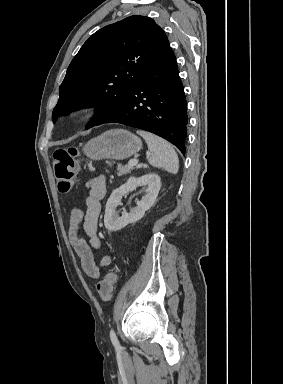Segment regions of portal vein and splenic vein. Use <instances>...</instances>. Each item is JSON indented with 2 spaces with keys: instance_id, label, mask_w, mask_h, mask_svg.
I'll use <instances>...</instances> for the list:
<instances>
[{
  "instance_id": "portal-vein-and-splenic-vein-1",
  "label": "portal vein and splenic vein",
  "mask_w": 283,
  "mask_h": 384,
  "mask_svg": "<svg viewBox=\"0 0 283 384\" xmlns=\"http://www.w3.org/2000/svg\"><path fill=\"white\" fill-rule=\"evenodd\" d=\"M146 156H151V152H146ZM138 164V160H129L128 166H136Z\"/></svg>"
}]
</instances>
